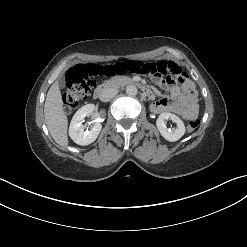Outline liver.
Instances as JSON below:
<instances>
[{
	"mask_svg": "<svg viewBox=\"0 0 247 247\" xmlns=\"http://www.w3.org/2000/svg\"><path fill=\"white\" fill-rule=\"evenodd\" d=\"M44 117L47 128L57 144L68 145V119L63 110L62 96L57 82L50 87L44 106Z\"/></svg>",
	"mask_w": 247,
	"mask_h": 247,
	"instance_id": "obj_1",
	"label": "liver"
}]
</instances>
